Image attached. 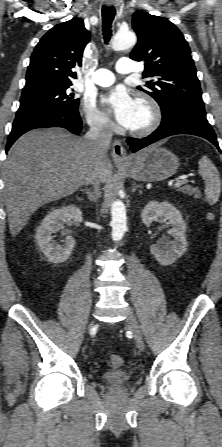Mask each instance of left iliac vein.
<instances>
[{"label":"left iliac vein","instance_id":"obj_1","mask_svg":"<svg viewBox=\"0 0 222 447\" xmlns=\"http://www.w3.org/2000/svg\"><path fill=\"white\" fill-rule=\"evenodd\" d=\"M126 323L128 324L130 330L133 333L134 340H135L137 347L141 351L144 350L145 346H144V341L142 338L140 326H139L136 316L134 315V313L130 307L127 308Z\"/></svg>","mask_w":222,"mask_h":447}]
</instances>
